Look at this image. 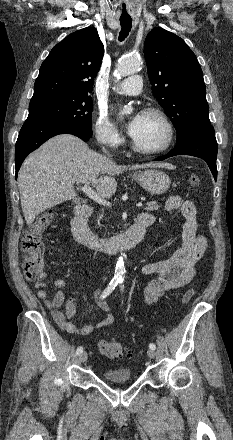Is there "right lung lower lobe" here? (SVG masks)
Instances as JSON below:
<instances>
[{"label":"right lung lower lobe","instance_id":"1","mask_svg":"<svg viewBox=\"0 0 233 440\" xmlns=\"http://www.w3.org/2000/svg\"><path fill=\"white\" fill-rule=\"evenodd\" d=\"M64 133L73 134L83 141H88L91 137L71 124L45 120H26L20 130L15 147L16 178L22 162L29 153L37 149L49 138Z\"/></svg>","mask_w":233,"mask_h":440}]
</instances>
